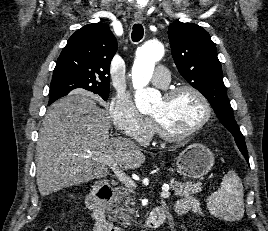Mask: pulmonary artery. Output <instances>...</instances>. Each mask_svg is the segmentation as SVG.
<instances>
[{"label": "pulmonary artery", "mask_w": 268, "mask_h": 231, "mask_svg": "<svg viewBox=\"0 0 268 231\" xmlns=\"http://www.w3.org/2000/svg\"><path fill=\"white\" fill-rule=\"evenodd\" d=\"M153 82L154 84L162 88H166L169 85L170 77H169L168 70L165 66L159 65L157 67V70L155 74L153 75Z\"/></svg>", "instance_id": "pulmonary-artery-1"}]
</instances>
